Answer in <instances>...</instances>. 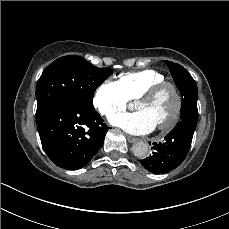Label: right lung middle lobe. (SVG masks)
Instances as JSON below:
<instances>
[{
  "instance_id": "right-lung-middle-lobe-1",
  "label": "right lung middle lobe",
  "mask_w": 229,
  "mask_h": 229,
  "mask_svg": "<svg viewBox=\"0 0 229 229\" xmlns=\"http://www.w3.org/2000/svg\"><path fill=\"white\" fill-rule=\"evenodd\" d=\"M111 74L112 69L97 68L80 56L58 58L45 68L37 82L36 120L62 100L93 107L95 90Z\"/></svg>"
}]
</instances>
